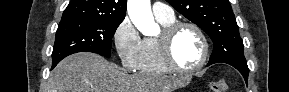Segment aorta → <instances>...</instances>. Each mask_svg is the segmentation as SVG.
<instances>
[{
	"label": "aorta",
	"instance_id": "obj_1",
	"mask_svg": "<svg viewBox=\"0 0 289 92\" xmlns=\"http://www.w3.org/2000/svg\"><path fill=\"white\" fill-rule=\"evenodd\" d=\"M127 12L135 27L144 35H152L158 28L151 11L150 0H128Z\"/></svg>",
	"mask_w": 289,
	"mask_h": 92
}]
</instances>
